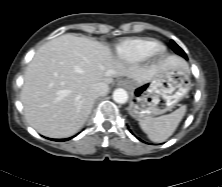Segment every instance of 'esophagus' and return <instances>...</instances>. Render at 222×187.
I'll use <instances>...</instances> for the list:
<instances>
[{
	"instance_id": "esophagus-1",
	"label": "esophagus",
	"mask_w": 222,
	"mask_h": 187,
	"mask_svg": "<svg viewBox=\"0 0 222 187\" xmlns=\"http://www.w3.org/2000/svg\"><path fill=\"white\" fill-rule=\"evenodd\" d=\"M118 85L123 86V87H127L128 86V82L125 80L119 81Z\"/></svg>"
}]
</instances>
